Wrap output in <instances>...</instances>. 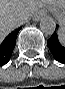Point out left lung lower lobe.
Masks as SVG:
<instances>
[{
    "mask_svg": "<svg viewBox=\"0 0 65 89\" xmlns=\"http://www.w3.org/2000/svg\"><path fill=\"white\" fill-rule=\"evenodd\" d=\"M47 46L50 49L54 58L57 61L65 64V44L60 43L55 32L47 41Z\"/></svg>",
    "mask_w": 65,
    "mask_h": 89,
    "instance_id": "0a47b994",
    "label": "left lung lower lobe"
}]
</instances>
